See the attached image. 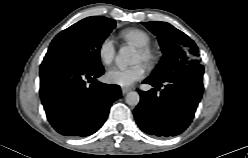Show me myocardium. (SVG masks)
Returning <instances> with one entry per match:
<instances>
[{
	"label": "myocardium",
	"instance_id": "obj_1",
	"mask_svg": "<svg viewBox=\"0 0 248 158\" xmlns=\"http://www.w3.org/2000/svg\"><path fill=\"white\" fill-rule=\"evenodd\" d=\"M137 51L142 55L143 62L148 67H153L158 61L157 51L149 46L138 47Z\"/></svg>",
	"mask_w": 248,
	"mask_h": 158
}]
</instances>
